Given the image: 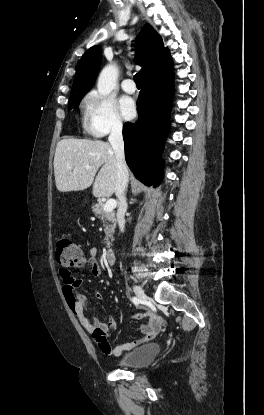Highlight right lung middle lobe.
Segmentation results:
<instances>
[{
    "mask_svg": "<svg viewBox=\"0 0 264 415\" xmlns=\"http://www.w3.org/2000/svg\"><path fill=\"white\" fill-rule=\"evenodd\" d=\"M82 97H83V95H77V96L70 97L69 107H68L69 110H71L72 108H76Z\"/></svg>",
    "mask_w": 264,
    "mask_h": 415,
    "instance_id": "right-lung-middle-lobe-1",
    "label": "right lung middle lobe"
}]
</instances>
